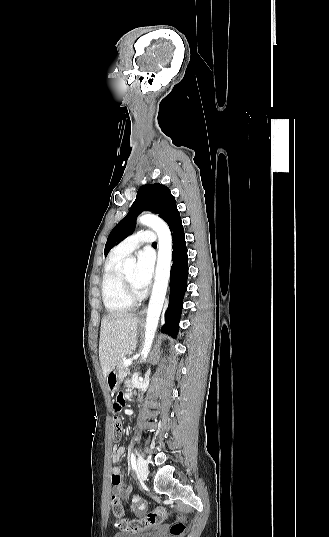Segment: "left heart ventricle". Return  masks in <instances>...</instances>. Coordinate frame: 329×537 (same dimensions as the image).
I'll return each mask as SVG.
<instances>
[{"label":"left heart ventricle","mask_w":329,"mask_h":537,"mask_svg":"<svg viewBox=\"0 0 329 537\" xmlns=\"http://www.w3.org/2000/svg\"><path fill=\"white\" fill-rule=\"evenodd\" d=\"M124 275H125L126 279L128 280L129 284L131 285L132 289L136 293H139V290L137 289V287L135 285V267L132 266L129 269H126L124 271Z\"/></svg>","instance_id":"1"}]
</instances>
